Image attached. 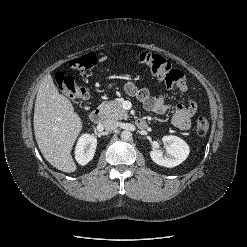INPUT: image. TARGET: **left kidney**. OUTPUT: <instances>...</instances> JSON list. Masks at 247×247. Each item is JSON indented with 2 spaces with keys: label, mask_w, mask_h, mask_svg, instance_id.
Listing matches in <instances>:
<instances>
[{
  "label": "left kidney",
  "mask_w": 247,
  "mask_h": 247,
  "mask_svg": "<svg viewBox=\"0 0 247 247\" xmlns=\"http://www.w3.org/2000/svg\"><path fill=\"white\" fill-rule=\"evenodd\" d=\"M162 142L166 153L159 149L150 151V157L158 165L172 168L186 160L190 153L188 144L181 138L173 135L164 136Z\"/></svg>",
  "instance_id": "obj_1"
}]
</instances>
